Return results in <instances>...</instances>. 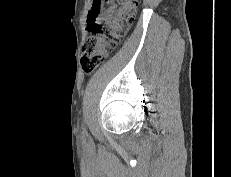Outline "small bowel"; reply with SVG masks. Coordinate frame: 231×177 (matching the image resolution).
Returning a JSON list of instances; mask_svg holds the SVG:
<instances>
[{
    "label": "small bowel",
    "mask_w": 231,
    "mask_h": 177,
    "mask_svg": "<svg viewBox=\"0 0 231 177\" xmlns=\"http://www.w3.org/2000/svg\"><path fill=\"white\" fill-rule=\"evenodd\" d=\"M110 1H111L110 5L103 9L102 8L103 7V0H101L100 12H99V15L97 17L98 22H101L102 20H104L108 16V14H110L115 9L116 4H115L114 0H110ZM96 2H97V0H93L92 8L88 14L87 22H88L89 16H90L91 11H92L93 7L95 6Z\"/></svg>",
    "instance_id": "obj_1"
}]
</instances>
